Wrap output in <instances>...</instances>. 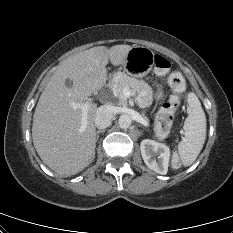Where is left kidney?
<instances>
[{"label": "left kidney", "mask_w": 233, "mask_h": 233, "mask_svg": "<svg viewBox=\"0 0 233 233\" xmlns=\"http://www.w3.org/2000/svg\"><path fill=\"white\" fill-rule=\"evenodd\" d=\"M140 150L148 168L161 175L167 173L170 159L168 146L154 140L145 139L141 142Z\"/></svg>", "instance_id": "obj_1"}]
</instances>
